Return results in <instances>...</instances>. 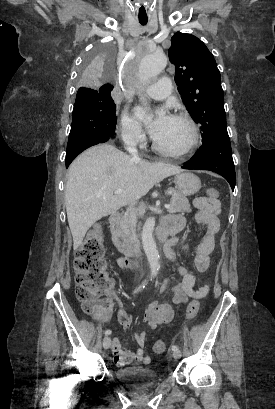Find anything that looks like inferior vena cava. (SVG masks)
Wrapping results in <instances>:
<instances>
[{
    "label": "inferior vena cava",
    "mask_w": 275,
    "mask_h": 409,
    "mask_svg": "<svg viewBox=\"0 0 275 409\" xmlns=\"http://www.w3.org/2000/svg\"><path fill=\"white\" fill-rule=\"evenodd\" d=\"M122 138L125 144H127L126 148L128 152L132 154L133 158H138V150L136 148L135 134H133V132H130V130H127V132H123ZM135 205H136V200H131V202H129V207L127 209V217H128L129 227L131 229V241L132 243H134L135 249H138L139 241L136 235L137 215L134 209Z\"/></svg>",
    "instance_id": "inferior-vena-cava-1"
}]
</instances>
